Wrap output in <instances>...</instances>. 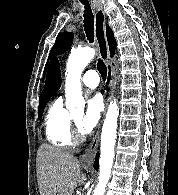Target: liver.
I'll use <instances>...</instances> for the list:
<instances>
[{
  "label": "liver",
  "instance_id": "6515ba94",
  "mask_svg": "<svg viewBox=\"0 0 178 195\" xmlns=\"http://www.w3.org/2000/svg\"><path fill=\"white\" fill-rule=\"evenodd\" d=\"M37 160L40 195H72L76 187L86 180L79 160L58 148L42 144Z\"/></svg>",
  "mask_w": 178,
  "mask_h": 195
}]
</instances>
